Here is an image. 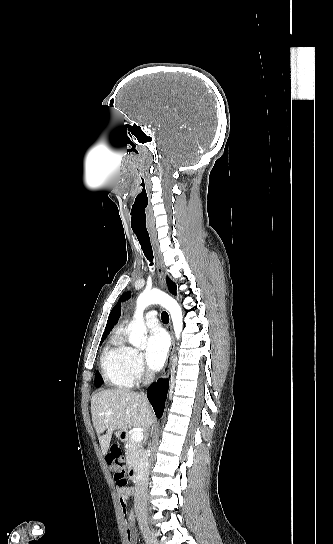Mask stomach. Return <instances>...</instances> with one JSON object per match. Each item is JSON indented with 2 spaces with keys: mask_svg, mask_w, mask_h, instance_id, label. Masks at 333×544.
<instances>
[{
  "mask_svg": "<svg viewBox=\"0 0 333 544\" xmlns=\"http://www.w3.org/2000/svg\"><path fill=\"white\" fill-rule=\"evenodd\" d=\"M123 433H124V431H123V430H120V431H117V432L115 433V435H116V437H117L118 439H122Z\"/></svg>",
  "mask_w": 333,
  "mask_h": 544,
  "instance_id": "obj_1",
  "label": "stomach"
}]
</instances>
